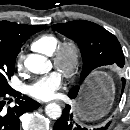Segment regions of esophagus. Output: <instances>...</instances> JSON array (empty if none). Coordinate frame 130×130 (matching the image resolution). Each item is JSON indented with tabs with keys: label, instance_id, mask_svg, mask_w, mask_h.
<instances>
[{
	"label": "esophagus",
	"instance_id": "esophagus-1",
	"mask_svg": "<svg viewBox=\"0 0 130 130\" xmlns=\"http://www.w3.org/2000/svg\"><path fill=\"white\" fill-rule=\"evenodd\" d=\"M54 102L59 104V105H64L63 101H61V100H55Z\"/></svg>",
	"mask_w": 130,
	"mask_h": 130
}]
</instances>
